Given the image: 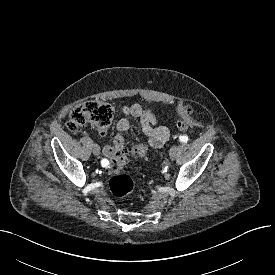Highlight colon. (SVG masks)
<instances>
[{
    "label": "colon",
    "instance_id": "1",
    "mask_svg": "<svg viewBox=\"0 0 275 275\" xmlns=\"http://www.w3.org/2000/svg\"><path fill=\"white\" fill-rule=\"evenodd\" d=\"M178 120L176 126L179 130L187 129L192 122L193 109L187 104L178 106ZM114 116V109L111 104L99 101L88 100L75 106L69 113L67 128L71 132H77L85 124L95 125L100 132H105L110 126ZM136 157H144L146 148L137 145L132 151ZM127 159L125 156L118 157L111 161L108 172L111 175L109 188L115 199H121L134 189V182L130 176L124 173Z\"/></svg>",
    "mask_w": 275,
    "mask_h": 275
}]
</instances>
